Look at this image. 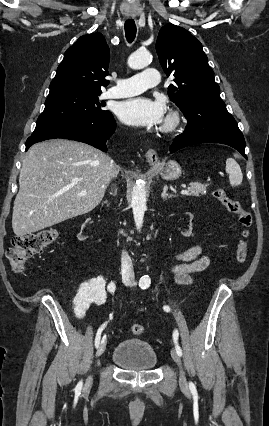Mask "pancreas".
I'll return each mask as SVG.
<instances>
[{"label": "pancreas", "instance_id": "pancreas-1", "mask_svg": "<svg viewBox=\"0 0 269 426\" xmlns=\"http://www.w3.org/2000/svg\"><path fill=\"white\" fill-rule=\"evenodd\" d=\"M207 185L198 182H191L188 187V196H203L206 194Z\"/></svg>", "mask_w": 269, "mask_h": 426}]
</instances>
